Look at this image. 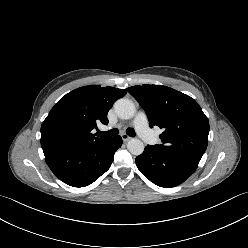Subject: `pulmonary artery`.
<instances>
[{
	"label": "pulmonary artery",
	"instance_id": "pulmonary-artery-1",
	"mask_svg": "<svg viewBox=\"0 0 248 248\" xmlns=\"http://www.w3.org/2000/svg\"><path fill=\"white\" fill-rule=\"evenodd\" d=\"M131 124L136 129L138 135L147 143L153 144L156 141V136L148 126V119L143 111H139Z\"/></svg>",
	"mask_w": 248,
	"mask_h": 248
}]
</instances>
